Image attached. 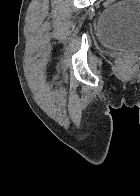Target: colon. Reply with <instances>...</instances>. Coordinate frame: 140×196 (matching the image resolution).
<instances>
[{"mask_svg": "<svg viewBox=\"0 0 140 196\" xmlns=\"http://www.w3.org/2000/svg\"><path fill=\"white\" fill-rule=\"evenodd\" d=\"M117 0H106L105 1V6H110L116 3ZM117 67L120 71L125 72L128 70L129 65L128 61L125 58H119L117 60Z\"/></svg>", "mask_w": 140, "mask_h": 196, "instance_id": "5ec220e1", "label": "colon"}]
</instances>
